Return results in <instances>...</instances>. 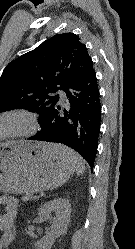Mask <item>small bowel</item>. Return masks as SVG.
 <instances>
[{"instance_id":"small-bowel-1","label":"small bowel","mask_w":135,"mask_h":249,"mask_svg":"<svg viewBox=\"0 0 135 249\" xmlns=\"http://www.w3.org/2000/svg\"><path fill=\"white\" fill-rule=\"evenodd\" d=\"M0 204L4 206L3 214H0V249L7 248L17 236L15 219L17 216L19 202L15 197L2 196Z\"/></svg>"}]
</instances>
